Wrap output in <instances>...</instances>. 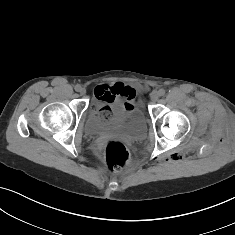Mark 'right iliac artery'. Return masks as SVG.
<instances>
[{
    "mask_svg": "<svg viewBox=\"0 0 235 235\" xmlns=\"http://www.w3.org/2000/svg\"><path fill=\"white\" fill-rule=\"evenodd\" d=\"M80 88H81V86H80L79 84H77V85L75 86V90H76V91H79Z\"/></svg>",
    "mask_w": 235,
    "mask_h": 235,
    "instance_id": "right-iliac-artery-1",
    "label": "right iliac artery"
}]
</instances>
